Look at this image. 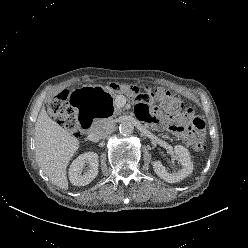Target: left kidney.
<instances>
[{"label": "left kidney", "instance_id": "obj_1", "mask_svg": "<svg viewBox=\"0 0 248 248\" xmlns=\"http://www.w3.org/2000/svg\"><path fill=\"white\" fill-rule=\"evenodd\" d=\"M174 152L178 157L179 162L182 165V169L176 173H169L162 165L161 161H153V169L155 173L164 181L168 183H175L183 180L189 176L193 171V163L191 162V157L188 149L182 145H176L174 147Z\"/></svg>", "mask_w": 248, "mask_h": 248}]
</instances>
